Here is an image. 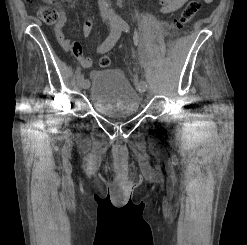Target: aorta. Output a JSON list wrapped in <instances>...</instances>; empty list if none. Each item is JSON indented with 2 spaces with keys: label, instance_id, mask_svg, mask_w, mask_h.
Masks as SVG:
<instances>
[{
  "label": "aorta",
  "instance_id": "aorta-1",
  "mask_svg": "<svg viewBox=\"0 0 247 245\" xmlns=\"http://www.w3.org/2000/svg\"><path fill=\"white\" fill-rule=\"evenodd\" d=\"M109 19H110V22L114 25H120L122 24V19L119 17V15H117L115 13V11L113 9H109Z\"/></svg>",
  "mask_w": 247,
  "mask_h": 245
}]
</instances>
